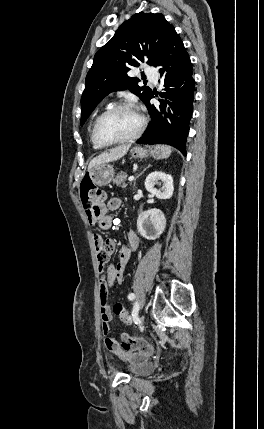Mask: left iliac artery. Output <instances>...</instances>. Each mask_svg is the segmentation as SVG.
<instances>
[{
  "label": "left iliac artery",
  "instance_id": "1",
  "mask_svg": "<svg viewBox=\"0 0 264 429\" xmlns=\"http://www.w3.org/2000/svg\"><path fill=\"white\" fill-rule=\"evenodd\" d=\"M128 299H129V300H133V299H135V294H134V293H130V294L128 295Z\"/></svg>",
  "mask_w": 264,
  "mask_h": 429
}]
</instances>
